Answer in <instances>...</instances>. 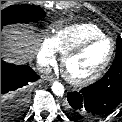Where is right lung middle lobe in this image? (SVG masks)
<instances>
[{
  "mask_svg": "<svg viewBox=\"0 0 122 122\" xmlns=\"http://www.w3.org/2000/svg\"><path fill=\"white\" fill-rule=\"evenodd\" d=\"M40 7L31 5H12L1 11V28L7 24L37 21L45 17Z\"/></svg>",
  "mask_w": 122,
  "mask_h": 122,
  "instance_id": "1",
  "label": "right lung middle lobe"
}]
</instances>
